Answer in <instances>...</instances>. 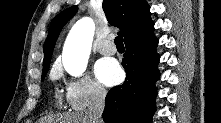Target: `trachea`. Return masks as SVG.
Here are the masks:
<instances>
[{
    "mask_svg": "<svg viewBox=\"0 0 221 123\" xmlns=\"http://www.w3.org/2000/svg\"><path fill=\"white\" fill-rule=\"evenodd\" d=\"M114 43L117 48H124L122 36H117L114 40Z\"/></svg>",
    "mask_w": 221,
    "mask_h": 123,
    "instance_id": "obj_1",
    "label": "trachea"
}]
</instances>
